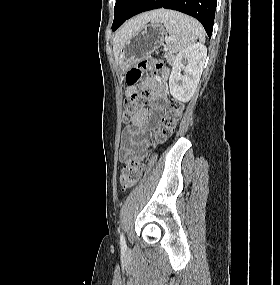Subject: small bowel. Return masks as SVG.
<instances>
[{
	"instance_id": "c3829d8e",
	"label": "small bowel",
	"mask_w": 280,
	"mask_h": 285,
	"mask_svg": "<svg viewBox=\"0 0 280 285\" xmlns=\"http://www.w3.org/2000/svg\"><path fill=\"white\" fill-rule=\"evenodd\" d=\"M140 87L150 89L155 111L159 113L164 111L167 104L165 82L163 80L147 78L142 82ZM133 91L134 88L129 87L126 91V95L130 96ZM149 115L150 113L147 108L140 109L132 118L130 127L124 131L119 153V158L122 162L128 161L133 156L136 149L146 143L147 138L145 136L149 132Z\"/></svg>"
}]
</instances>
